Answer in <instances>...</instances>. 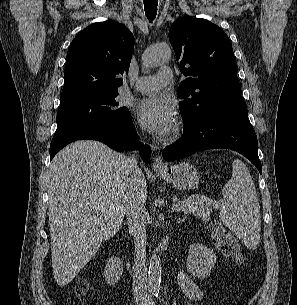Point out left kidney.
<instances>
[{
    "mask_svg": "<svg viewBox=\"0 0 297 305\" xmlns=\"http://www.w3.org/2000/svg\"><path fill=\"white\" fill-rule=\"evenodd\" d=\"M216 261V255L213 250L200 243H194L189 248L187 270L193 276L204 279L208 277Z\"/></svg>",
    "mask_w": 297,
    "mask_h": 305,
    "instance_id": "left-kidney-1",
    "label": "left kidney"
}]
</instances>
